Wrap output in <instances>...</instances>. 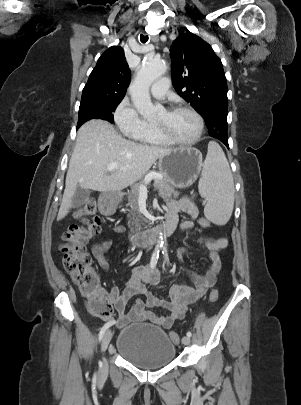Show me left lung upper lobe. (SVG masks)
<instances>
[{"label": "left lung upper lobe", "instance_id": "obj_1", "mask_svg": "<svg viewBox=\"0 0 301 405\" xmlns=\"http://www.w3.org/2000/svg\"><path fill=\"white\" fill-rule=\"evenodd\" d=\"M170 57L178 94L202 115L210 136H227V83L219 57L189 31L174 40Z\"/></svg>", "mask_w": 301, "mask_h": 405}]
</instances>
